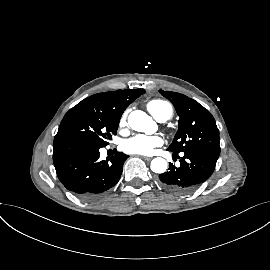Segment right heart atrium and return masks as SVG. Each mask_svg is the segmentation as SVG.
<instances>
[{
	"label": "right heart atrium",
	"instance_id": "1",
	"mask_svg": "<svg viewBox=\"0 0 270 270\" xmlns=\"http://www.w3.org/2000/svg\"><path fill=\"white\" fill-rule=\"evenodd\" d=\"M127 115H128V111H125V112L121 115L120 120H119V125H120V127H123V126L126 125Z\"/></svg>",
	"mask_w": 270,
	"mask_h": 270
}]
</instances>
